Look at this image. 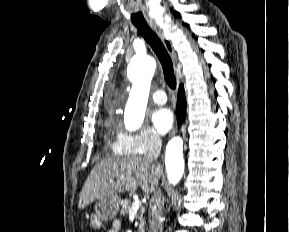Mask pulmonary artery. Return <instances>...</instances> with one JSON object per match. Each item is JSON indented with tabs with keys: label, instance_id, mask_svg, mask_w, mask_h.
I'll return each mask as SVG.
<instances>
[{
	"label": "pulmonary artery",
	"instance_id": "pulmonary-artery-1",
	"mask_svg": "<svg viewBox=\"0 0 289 232\" xmlns=\"http://www.w3.org/2000/svg\"><path fill=\"white\" fill-rule=\"evenodd\" d=\"M152 100L157 104H165L167 101L166 94L163 90H157L155 91L152 96Z\"/></svg>",
	"mask_w": 289,
	"mask_h": 232
}]
</instances>
